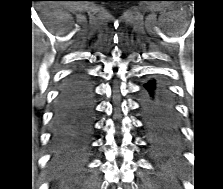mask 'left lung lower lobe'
I'll return each instance as SVG.
<instances>
[{
    "label": "left lung lower lobe",
    "mask_w": 223,
    "mask_h": 189,
    "mask_svg": "<svg viewBox=\"0 0 223 189\" xmlns=\"http://www.w3.org/2000/svg\"><path fill=\"white\" fill-rule=\"evenodd\" d=\"M140 107L146 125L163 127L176 135L178 118L175 104L168 86L163 81L150 79L143 83L140 91Z\"/></svg>",
    "instance_id": "1"
}]
</instances>
